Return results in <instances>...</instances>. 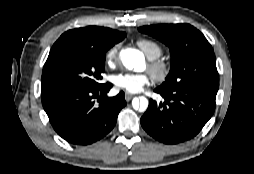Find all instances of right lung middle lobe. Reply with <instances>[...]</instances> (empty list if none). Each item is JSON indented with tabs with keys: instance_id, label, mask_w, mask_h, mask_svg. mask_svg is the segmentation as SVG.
<instances>
[{
	"instance_id": "right-lung-middle-lobe-1",
	"label": "right lung middle lobe",
	"mask_w": 254,
	"mask_h": 174,
	"mask_svg": "<svg viewBox=\"0 0 254 174\" xmlns=\"http://www.w3.org/2000/svg\"><path fill=\"white\" fill-rule=\"evenodd\" d=\"M109 48L97 49L72 39L57 40L43 67L41 96L99 87Z\"/></svg>"
}]
</instances>
